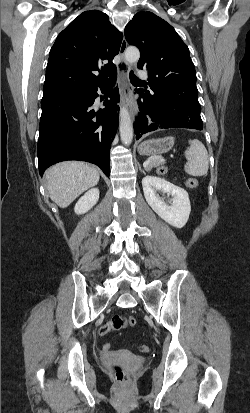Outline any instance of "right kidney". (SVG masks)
<instances>
[{
  "mask_svg": "<svg viewBox=\"0 0 250 413\" xmlns=\"http://www.w3.org/2000/svg\"><path fill=\"white\" fill-rule=\"evenodd\" d=\"M99 200V190L92 188L87 191L76 203L74 211L76 214L88 212Z\"/></svg>",
  "mask_w": 250,
  "mask_h": 413,
  "instance_id": "right-kidney-1",
  "label": "right kidney"
}]
</instances>
